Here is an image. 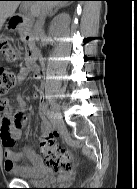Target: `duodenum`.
I'll return each instance as SVG.
<instances>
[{"instance_id": "obj_1", "label": "duodenum", "mask_w": 137, "mask_h": 189, "mask_svg": "<svg viewBox=\"0 0 137 189\" xmlns=\"http://www.w3.org/2000/svg\"><path fill=\"white\" fill-rule=\"evenodd\" d=\"M32 26H33V21L31 19H27L24 16H14L9 21L10 31L22 32V38L25 43L26 51H27L26 65L30 71L35 73L38 72V67L36 65L38 56L34 45L33 36L30 32Z\"/></svg>"}]
</instances>
